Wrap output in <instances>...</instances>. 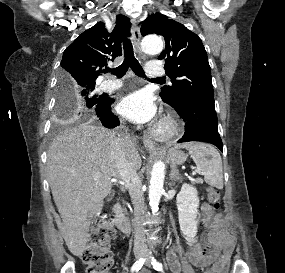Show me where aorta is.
I'll return each mask as SVG.
<instances>
[{"instance_id": "aorta-1", "label": "aorta", "mask_w": 285, "mask_h": 273, "mask_svg": "<svg viewBox=\"0 0 285 273\" xmlns=\"http://www.w3.org/2000/svg\"><path fill=\"white\" fill-rule=\"evenodd\" d=\"M142 49L147 54H158L163 50V41L158 36H146L142 41ZM164 178L165 165L162 161H157L151 171L149 186V203L153 213L157 212L164 191Z\"/></svg>"}]
</instances>
